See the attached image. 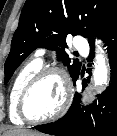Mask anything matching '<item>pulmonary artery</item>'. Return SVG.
I'll list each match as a JSON object with an SVG mask.
<instances>
[{"instance_id":"obj_1","label":"pulmonary artery","mask_w":117,"mask_h":136,"mask_svg":"<svg viewBox=\"0 0 117 136\" xmlns=\"http://www.w3.org/2000/svg\"><path fill=\"white\" fill-rule=\"evenodd\" d=\"M75 46L82 53L86 54L89 51L88 45L83 38H80V37L77 38L75 41ZM44 54H45V49L43 48H38L35 51V56L40 61H42Z\"/></svg>"}]
</instances>
